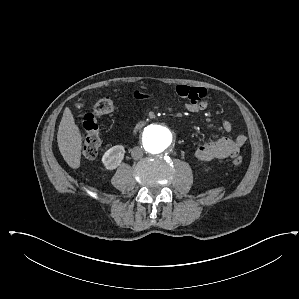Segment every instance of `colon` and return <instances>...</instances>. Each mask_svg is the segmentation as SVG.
Masks as SVG:
<instances>
[{
	"label": "colon",
	"mask_w": 299,
	"mask_h": 299,
	"mask_svg": "<svg viewBox=\"0 0 299 299\" xmlns=\"http://www.w3.org/2000/svg\"><path fill=\"white\" fill-rule=\"evenodd\" d=\"M114 110L115 104L113 99L110 97H103L97 100L91 112L84 114L82 118V126L85 133L82 149L84 159H95L98 156L102 146L100 129L96 118L110 114ZM242 162L243 158L240 155H236L232 160V163L235 166H240Z\"/></svg>",
	"instance_id": "5ec220e1"
}]
</instances>
